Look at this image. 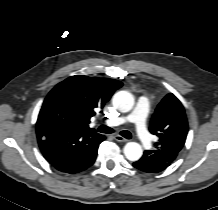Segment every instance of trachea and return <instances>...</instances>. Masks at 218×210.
<instances>
[{"mask_svg":"<svg viewBox=\"0 0 218 210\" xmlns=\"http://www.w3.org/2000/svg\"><path fill=\"white\" fill-rule=\"evenodd\" d=\"M98 131L101 132V133H105V134H109V133L114 132V130L112 128H110L108 126H105V125L99 126ZM120 134L126 139H131L132 138L131 133L129 131H127V130L121 131Z\"/></svg>","mask_w":218,"mask_h":210,"instance_id":"1","label":"trachea"}]
</instances>
